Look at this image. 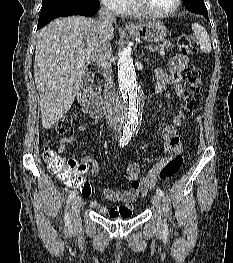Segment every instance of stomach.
I'll list each match as a JSON object with an SVG mask.
<instances>
[{"label":"stomach","instance_id":"0dacf381","mask_svg":"<svg viewBox=\"0 0 233 263\" xmlns=\"http://www.w3.org/2000/svg\"><path fill=\"white\" fill-rule=\"evenodd\" d=\"M128 32L150 43L164 42L168 33L167 28L160 21L137 24L133 29H128Z\"/></svg>","mask_w":233,"mask_h":263}]
</instances>
